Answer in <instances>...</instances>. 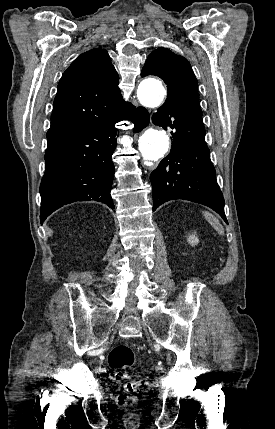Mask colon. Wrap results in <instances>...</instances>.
I'll return each instance as SVG.
<instances>
[{"label": "colon", "mask_w": 275, "mask_h": 429, "mask_svg": "<svg viewBox=\"0 0 275 429\" xmlns=\"http://www.w3.org/2000/svg\"><path fill=\"white\" fill-rule=\"evenodd\" d=\"M108 363L115 380L122 382L124 391L118 395L120 405H132L136 401L135 393L139 392L144 383L128 376L127 370L134 366L135 355L127 345H117L108 355Z\"/></svg>", "instance_id": "1"}]
</instances>
